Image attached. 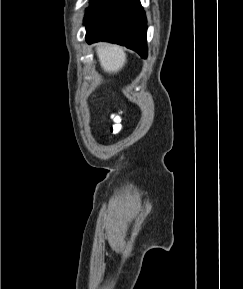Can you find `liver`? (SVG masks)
<instances>
[{
	"mask_svg": "<svg viewBox=\"0 0 243 289\" xmlns=\"http://www.w3.org/2000/svg\"><path fill=\"white\" fill-rule=\"evenodd\" d=\"M96 46L97 57L104 72L115 74L124 67L127 60L122 47L107 43H98Z\"/></svg>",
	"mask_w": 243,
	"mask_h": 289,
	"instance_id": "liver-1",
	"label": "liver"
}]
</instances>
